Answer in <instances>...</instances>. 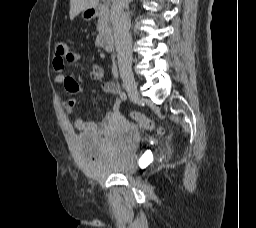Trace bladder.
Instances as JSON below:
<instances>
[{
  "label": "bladder",
  "instance_id": "obj_1",
  "mask_svg": "<svg viewBox=\"0 0 256 228\" xmlns=\"http://www.w3.org/2000/svg\"><path fill=\"white\" fill-rule=\"evenodd\" d=\"M141 134L137 127L110 131L98 137L79 135L75 148L87 171L95 178L109 175L127 176L136 169L137 151Z\"/></svg>",
  "mask_w": 256,
  "mask_h": 228
}]
</instances>
